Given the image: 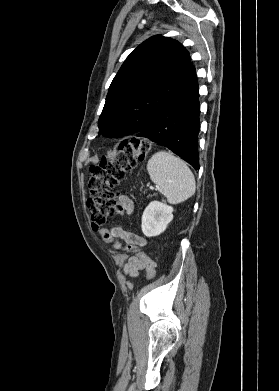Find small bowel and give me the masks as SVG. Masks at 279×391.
I'll return each instance as SVG.
<instances>
[{
	"label": "small bowel",
	"instance_id": "c3829d8e",
	"mask_svg": "<svg viewBox=\"0 0 279 391\" xmlns=\"http://www.w3.org/2000/svg\"><path fill=\"white\" fill-rule=\"evenodd\" d=\"M120 205L127 214L132 213L134 205L131 199L126 196L120 197ZM108 231L112 234L114 239H121L126 243V245L132 244L136 247H145L147 244L143 237L132 232L125 231L121 227H113ZM113 248L119 251H128L126 246L118 240L113 243ZM145 268L146 264L138 256H132L125 265L124 271L129 276L136 277L138 272Z\"/></svg>",
	"mask_w": 279,
	"mask_h": 391
}]
</instances>
